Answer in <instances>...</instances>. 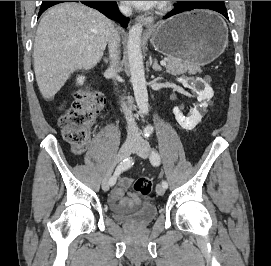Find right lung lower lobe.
Returning a JSON list of instances; mask_svg holds the SVG:
<instances>
[{
    "label": "right lung lower lobe",
    "instance_id": "obj_1",
    "mask_svg": "<svg viewBox=\"0 0 271 266\" xmlns=\"http://www.w3.org/2000/svg\"><path fill=\"white\" fill-rule=\"evenodd\" d=\"M62 2H81L89 7L97 9L108 18L117 20L124 28L127 27V23L129 22V19L122 16L119 12L116 1H43L39 15L47 8Z\"/></svg>",
    "mask_w": 271,
    "mask_h": 266
}]
</instances>
